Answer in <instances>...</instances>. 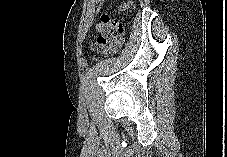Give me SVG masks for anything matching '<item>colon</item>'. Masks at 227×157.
<instances>
[{"label":"colon","instance_id":"5ec220e1","mask_svg":"<svg viewBox=\"0 0 227 157\" xmlns=\"http://www.w3.org/2000/svg\"><path fill=\"white\" fill-rule=\"evenodd\" d=\"M96 31L98 38L91 50L98 55L114 54L123 43L124 26L109 17H101Z\"/></svg>","mask_w":227,"mask_h":157}]
</instances>
